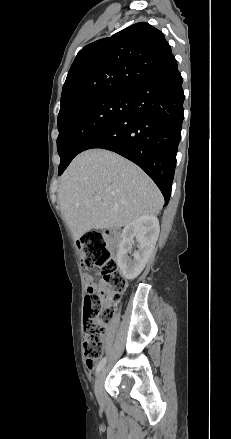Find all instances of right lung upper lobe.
I'll return each instance as SVG.
<instances>
[{
  "label": "right lung upper lobe",
  "mask_w": 231,
  "mask_h": 439,
  "mask_svg": "<svg viewBox=\"0 0 231 439\" xmlns=\"http://www.w3.org/2000/svg\"><path fill=\"white\" fill-rule=\"evenodd\" d=\"M177 63L164 34L146 22L83 47L66 78L60 113L86 99L133 94Z\"/></svg>",
  "instance_id": "right-lung-upper-lobe-1"
}]
</instances>
